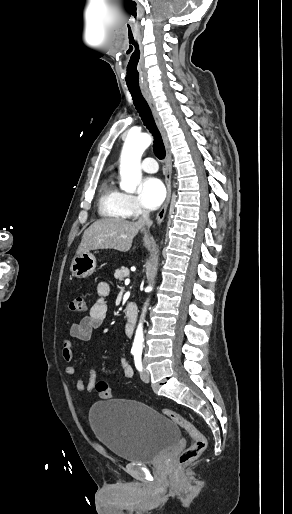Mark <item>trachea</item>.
Here are the masks:
<instances>
[{
  "label": "trachea",
  "instance_id": "1",
  "mask_svg": "<svg viewBox=\"0 0 292 514\" xmlns=\"http://www.w3.org/2000/svg\"><path fill=\"white\" fill-rule=\"evenodd\" d=\"M133 103L135 105V108L141 117L142 122L144 123L145 127L149 130V132L153 136V151L155 156L159 160H163L166 157V150L165 145L163 143V139L161 137V134L156 126L155 120L153 118L151 109L146 102L145 98L143 97L140 89L139 90H131L129 89Z\"/></svg>",
  "mask_w": 292,
  "mask_h": 514
}]
</instances>
